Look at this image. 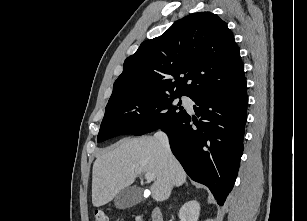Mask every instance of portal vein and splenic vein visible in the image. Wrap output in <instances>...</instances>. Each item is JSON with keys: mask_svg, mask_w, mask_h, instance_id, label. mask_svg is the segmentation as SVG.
<instances>
[{"mask_svg": "<svg viewBox=\"0 0 307 221\" xmlns=\"http://www.w3.org/2000/svg\"><path fill=\"white\" fill-rule=\"evenodd\" d=\"M144 177H145V179L148 180V181H153V180H155L154 174H151V173H145Z\"/></svg>", "mask_w": 307, "mask_h": 221, "instance_id": "portal-vein-and-splenic-vein-1", "label": "portal vein and splenic vein"}]
</instances>
